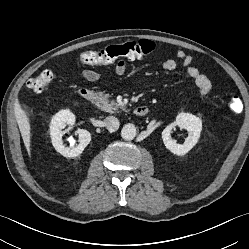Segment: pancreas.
<instances>
[{
	"label": "pancreas",
	"instance_id": "obj_1",
	"mask_svg": "<svg viewBox=\"0 0 249 249\" xmlns=\"http://www.w3.org/2000/svg\"><path fill=\"white\" fill-rule=\"evenodd\" d=\"M111 95L110 94H105L100 92L98 94V101H97V106L108 113H115L118 109H123V106L114 100H111Z\"/></svg>",
	"mask_w": 249,
	"mask_h": 249
}]
</instances>
